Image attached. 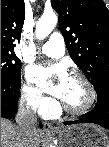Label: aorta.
<instances>
[{"instance_id":"762f6f07","label":"aorta","mask_w":109,"mask_h":147,"mask_svg":"<svg viewBox=\"0 0 109 147\" xmlns=\"http://www.w3.org/2000/svg\"><path fill=\"white\" fill-rule=\"evenodd\" d=\"M58 22V18L55 12L44 13L36 24L35 34L37 39L43 40L54 29Z\"/></svg>"}]
</instances>
